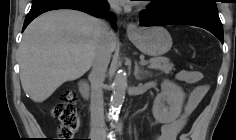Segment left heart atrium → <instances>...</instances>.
Here are the masks:
<instances>
[{"mask_svg": "<svg viewBox=\"0 0 236 140\" xmlns=\"http://www.w3.org/2000/svg\"><path fill=\"white\" fill-rule=\"evenodd\" d=\"M121 2H128L127 0H121ZM131 2H133V1H131ZM134 2H137V1H134Z\"/></svg>", "mask_w": 236, "mask_h": 140, "instance_id": "39dd6f15", "label": "left heart atrium"}]
</instances>
